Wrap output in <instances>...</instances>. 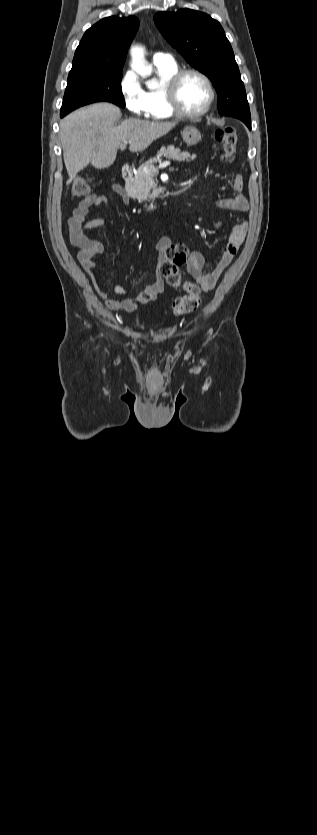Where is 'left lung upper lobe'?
<instances>
[{
  "label": "left lung upper lobe",
  "instance_id": "1",
  "mask_svg": "<svg viewBox=\"0 0 317 835\" xmlns=\"http://www.w3.org/2000/svg\"><path fill=\"white\" fill-rule=\"evenodd\" d=\"M154 21L187 62L210 78L218 94L220 115L251 120L239 68L220 23L191 9L158 12Z\"/></svg>",
  "mask_w": 317,
  "mask_h": 835
}]
</instances>
